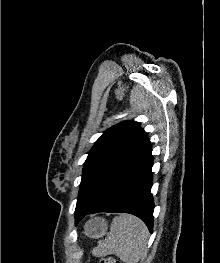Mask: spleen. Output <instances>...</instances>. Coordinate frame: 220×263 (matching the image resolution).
<instances>
[{
    "instance_id": "1",
    "label": "spleen",
    "mask_w": 220,
    "mask_h": 263,
    "mask_svg": "<svg viewBox=\"0 0 220 263\" xmlns=\"http://www.w3.org/2000/svg\"><path fill=\"white\" fill-rule=\"evenodd\" d=\"M149 232L139 218L120 214L113 219L110 232L93 250L96 256L115 254L125 263H138L147 253Z\"/></svg>"
}]
</instances>
